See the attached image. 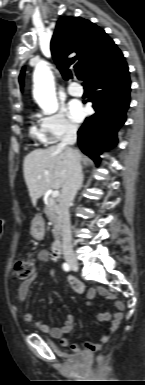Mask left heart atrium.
I'll use <instances>...</instances> for the list:
<instances>
[{
    "label": "left heart atrium",
    "mask_w": 145,
    "mask_h": 385,
    "mask_svg": "<svg viewBox=\"0 0 145 385\" xmlns=\"http://www.w3.org/2000/svg\"><path fill=\"white\" fill-rule=\"evenodd\" d=\"M69 114L74 121H81L85 116V110L77 101H72L69 104Z\"/></svg>",
    "instance_id": "1"
}]
</instances>
